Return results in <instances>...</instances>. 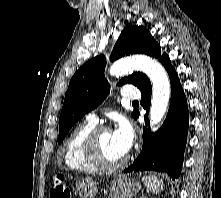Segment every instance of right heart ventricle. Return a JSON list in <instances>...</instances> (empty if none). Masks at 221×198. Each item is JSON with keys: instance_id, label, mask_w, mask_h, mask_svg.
Instances as JSON below:
<instances>
[{"instance_id": "e07e8e85", "label": "right heart ventricle", "mask_w": 221, "mask_h": 198, "mask_svg": "<svg viewBox=\"0 0 221 198\" xmlns=\"http://www.w3.org/2000/svg\"><path fill=\"white\" fill-rule=\"evenodd\" d=\"M96 123L85 121L78 125L68 136L64 146V162L73 171L92 173L99 169L87 157L85 143Z\"/></svg>"}]
</instances>
